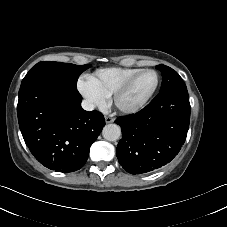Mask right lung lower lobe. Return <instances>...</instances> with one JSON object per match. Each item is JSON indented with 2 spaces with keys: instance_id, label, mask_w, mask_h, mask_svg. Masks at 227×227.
I'll return each instance as SVG.
<instances>
[{
  "instance_id": "1",
  "label": "right lung lower lobe",
  "mask_w": 227,
  "mask_h": 227,
  "mask_svg": "<svg viewBox=\"0 0 227 227\" xmlns=\"http://www.w3.org/2000/svg\"><path fill=\"white\" fill-rule=\"evenodd\" d=\"M82 96L58 80L37 78L19 90L17 115L26 145L45 167L73 172L84 166L105 120L81 107Z\"/></svg>"
}]
</instances>
